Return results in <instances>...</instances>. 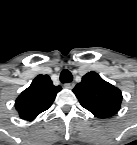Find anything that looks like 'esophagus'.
Segmentation results:
<instances>
[{
  "label": "esophagus",
  "instance_id": "34e87169",
  "mask_svg": "<svg viewBox=\"0 0 137 145\" xmlns=\"http://www.w3.org/2000/svg\"><path fill=\"white\" fill-rule=\"evenodd\" d=\"M75 84L73 82H68L64 84L65 88L72 89L74 88Z\"/></svg>",
  "mask_w": 137,
  "mask_h": 145
}]
</instances>
